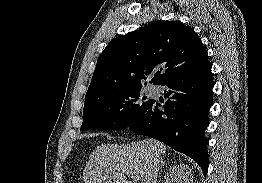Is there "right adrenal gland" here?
Wrapping results in <instances>:
<instances>
[{"mask_svg":"<svg viewBox=\"0 0 262 183\" xmlns=\"http://www.w3.org/2000/svg\"><path fill=\"white\" fill-rule=\"evenodd\" d=\"M169 162H166V161H161V168L165 165V164H168Z\"/></svg>","mask_w":262,"mask_h":183,"instance_id":"2a0ac1e0","label":"right adrenal gland"}]
</instances>
